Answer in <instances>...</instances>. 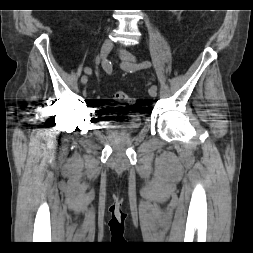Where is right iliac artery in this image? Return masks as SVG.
Masks as SVG:
<instances>
[{
	"mask_svg": "<svg viewBox=\"0 0 253 253\" xmlns=\"http://www.w3.org/2000/svg\"><path fill=\"white\" fill-rule=\"evenodd\" d=\"M102 67H103L104 70L107 71V73L111 72V67H110L109 63L107 62V60H104L102 62ZM83 71H84L85 75H91L92 74V71H91L90 67H84Z\"/></svg>",
	"mask_w": 253,
	"mask_h": 253,
	"instance_id": "1",
	"label": "right iliac artery"
}]
</instances>
